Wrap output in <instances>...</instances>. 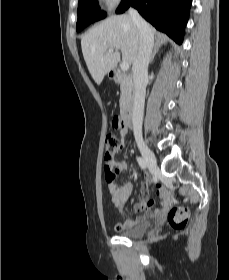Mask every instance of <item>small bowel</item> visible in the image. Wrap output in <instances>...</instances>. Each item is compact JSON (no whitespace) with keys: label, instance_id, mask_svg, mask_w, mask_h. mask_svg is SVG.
<instances>
[{"label":"small bowel","instance_id":"1","mask_svg":"<svg viewBox=\"0 0 229 280\" xmlns=\"http://www.w3.org/2000/svg\"><path fill=\"white\" fill-rule=\"evenodd\" d=\"M121 135V150L126 149V142L125 137L128 135V129L121 128L120 130ZM127 169V162L125 160H119L115 163V172L121 173ZM145 179H148L147 175H144ZM108 184V191L111 197V201L114 204V206L121 211L122 213H125L124 206L129 199L132 190H133V184L131 182H126L121 185H114V183H107ZM156 193L161 199V206L156 208L153 212L155 216L161 217L164 216L167 211L170 208V192L167 188L164 186L157 184L156 186ZM152 207V203L149 201V193L146 188H143L138 202L134 205L133 210L136 213H147L150 211ZM145 219L143 216H137L132 219H128L122 223H119L115 226V230L117 232L128 229L136 225L140 220Z\"/></svg>","mask_w":229,"mask_h":280}]
</instances>
